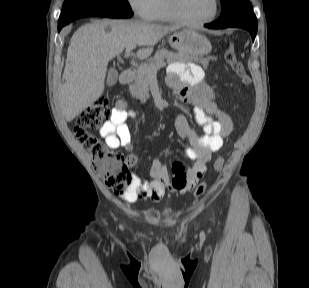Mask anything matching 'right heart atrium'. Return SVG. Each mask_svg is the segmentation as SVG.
<instances>
[{
  "instance_id": "1",
  "label": "right heart atrium",
  "mask_w": 309,
  "mask_h": 288,
  "mask_svg": "<svg viewBox=\"0 0 309 288\" xmlns=\"http://www.w3.org/2000/svg\"><path fill=\"white\" fill-rule=\"evenodd\" d=\"M132 11L142 19H151L157 0H127Z\"/></svg>"
}]
</instances>
